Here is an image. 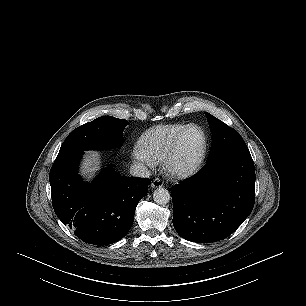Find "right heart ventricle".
<instances>
[{"instance_id":"obj_1","label":"right heart ventricle","mask_w":306,"mask_h":306,"mask_svg":"<svg viewBox=\"0 0 306 306\" xmlns=\"http://www.w3.org/2000/svg\"><path fill=\"white\" fill-rule=\"evenodd\" d=\"M185 125H165L147 131L140 139L141 147L155 160L164 161L170 154Z\"/></svg>"}]
</instances>
